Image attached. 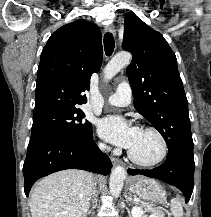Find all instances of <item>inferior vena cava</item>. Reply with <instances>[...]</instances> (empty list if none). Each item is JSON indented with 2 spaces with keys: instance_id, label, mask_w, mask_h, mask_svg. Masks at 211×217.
Listing matches in <instances>:
<instances>
[{
  "instance_id": "obj_1",
  "label": "inferior vena cava",
  "mask_w": 211,
  "mask_h": 217,
  "mask_svg": "<svg viewBox=\"0 0 211 217\" xmlns=\"http://www.w3.org/2000/svg\"><path fill=\"white\" fill-rule=\"evenodd\" d=\"M101 148H102V149H105V148H106V146L102 145V146H101ZM93 196H94V192H93Z\"/></svg>"
}]
</instances>
